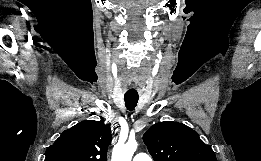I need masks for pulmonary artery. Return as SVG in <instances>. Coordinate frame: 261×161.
<instances>
[{"label":"pulmonary artery","mask_w":261,"mask_h":161,"mask_svg":"<svg viewBox=\"0 0 261 161\" xmlns=\"http://www.w3.org/2000/svg\"><path fill=\"white\" fill-rule=\"evenodd\" d=\"M133 161H153L151 156H149L148 154L144 153V152H138L134 158Z\"/></svg>","instance_id":"1"}]
</instances>
